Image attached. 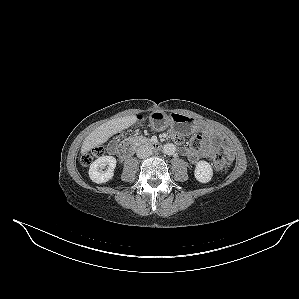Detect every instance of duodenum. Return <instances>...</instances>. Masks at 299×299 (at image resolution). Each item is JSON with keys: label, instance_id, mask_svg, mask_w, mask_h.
Wrapping results in <instances>:
<instances>
[{"label": "duodenum", "instance_id": "1", "mask_svg": "<svg viewBox=\"0 0 299 299\" xmlns=\"http://www.w3.org/2000/svg\"><path fill=\"white\" fill-rule=\"evenodd\" d=\"M139 144V142L133 140L126 141L118 146V153L121 157L126 158L131 155ZM146 145L155 150H159L162 147V144L158 141H149L146 142Z\"/></svg>", "mask_w": 299, "mask_h": 299}]
</instances>
